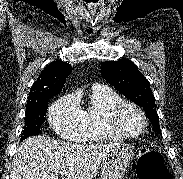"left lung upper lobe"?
<instances>
[{
	"mask_svg": "<svg viewBox=\"0 0 183 179\" xmlns=\"http://www.w3.org/2000/svg\"><path fill=\"white\" fill-rule=\"evenodd\" d=\"M101 74L120 93L145 108L154 131L161 134L154 95L148 80L139 72L137 66L128 59L106 61L101 65Z\"/></svg>",
	"mask_w": 183,
	"mask_h": 179,
	"instance_id": "obj_1",
	"label": "left lung upper lobe"
}]
</instances>
